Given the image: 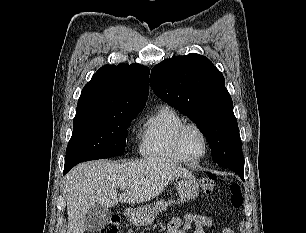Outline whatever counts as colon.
<instances>
[{
    "mask_svg": "<svg viewBox=\"0 0 306 233\" xmlns=\"http://www.w3.org/2000/svg\"><path fill=\"white\" fill-rule=\"evenodd\" d=\"M216 177L209 174L201 180V188L206 194H211L215 189ZM230 202L234 207H240L243 202L241 186L235 183L231 187ZM120 218L111 216L107 224L98 233H118Z\"/></svg>",
    "mask_w": 306,
    "mask_h": 233,
    "instance_id": "5ec220e1",
    "label": "colon"
}]
</instances>
